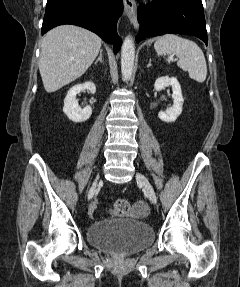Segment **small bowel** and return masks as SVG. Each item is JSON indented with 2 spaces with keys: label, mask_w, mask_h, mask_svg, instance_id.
I'll return each mask as SVG.
<instances>
[{
  "label": "small bowel",
  "mask_w": 240,
  "mask_h": 287,
  "mask_svg": "<svg viewBox=\"0 0 240 287\" xmlns=\"http://www.w3.org/2000/svg\"><path fill=\"white\" fill-rule=\"evenodd\" d=\"M147 209H148L147 204L144 201L139 200L133 204L132 211L143 212V215H144L147 213ZM95 212H96V206L95 205L90 206L89 214L92 216L95 214Z\"/></svg>",
  "instance_id": "small-bowel-1"
}]
</instances>
